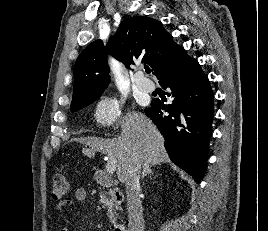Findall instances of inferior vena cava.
Returning <instances> with one entry per match:
<instances>
[{"mask_svg":"<svg viewBox=\"0 0 268 231\" xmlns=\"http://www.w3.org/2000/svg\"><path fill=\"white\" fill-rule=\"evenodd\" d=\"M143 161L134 153L127 168L124 182L127 195L128 231H144V219L140 200V170Z\"/></svg>","mask_w":268,"mask_h":231,"instance_id":"1","label":"inferior vena cava"}]
</instances>
